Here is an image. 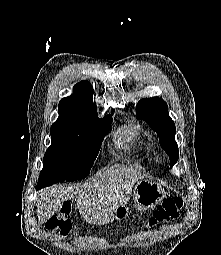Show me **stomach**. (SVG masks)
Masks as SVG:
<instances>
[{"label":"stomach","instance_id":"stomach-1","mask_svg":"<svg viewBox=\"0 0 221 255\" xmlns=\"http://www.w3.org/2000/svg\"><path fill=\"white\" fill-rule=\"evenodd\" d=\"M164 197V189L157 182L150 179L139 180L133 190L135 206L143 211L154 208ZM130 213L127 203L118 205L114 210V219L125 220Z\"/></svg>","mask_w":221,"mask_h":255}]
</instances>
